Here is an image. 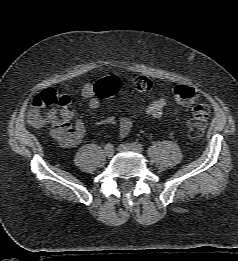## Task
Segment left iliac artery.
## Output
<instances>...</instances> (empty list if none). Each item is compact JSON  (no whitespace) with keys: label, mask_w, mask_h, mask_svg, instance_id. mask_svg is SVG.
Wrapping results in <instances>:
<instances>
[{"label":"left iliac artery","mask_w":238,"mask_h":261,"mask_svg":"<svg viewBox=\"0 0 238 261\" xmlns=\"http://www.w3.org/2000/svg\"><path fill=\"white\" fill-rule=\"evenodd\" d=\"M132 145L136 151L142 152L144 149L143 146L138 142H134V143H132Z\"/></svg>","instance_id":"44dca946"}]
</instances>
